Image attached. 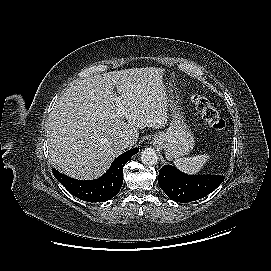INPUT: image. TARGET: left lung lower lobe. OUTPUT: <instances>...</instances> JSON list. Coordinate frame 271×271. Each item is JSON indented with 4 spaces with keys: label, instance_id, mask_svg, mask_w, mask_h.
<instances>
[{
    "label": "left lung lower lobe",
    "instance_id": "obj_1",
    "mask_svg": "<svg viewBox=\"0 0 271 271\" xmlns=\"http://www.w3.org/2000/svg\"><path fill=\"white\" fill-rule=\"evenodd\" d=\"M225 179L218 175H187L174 166L165 165L159 171L158 182L166 195L187 203L212 193Z\"/></svg>",
    "mask_w": 271,
    "mask_h": 271
}]
</instances>
